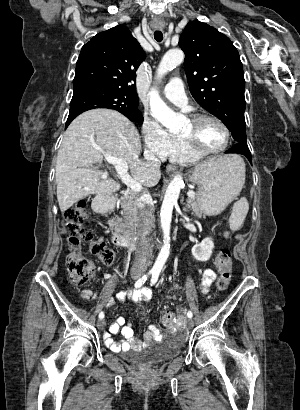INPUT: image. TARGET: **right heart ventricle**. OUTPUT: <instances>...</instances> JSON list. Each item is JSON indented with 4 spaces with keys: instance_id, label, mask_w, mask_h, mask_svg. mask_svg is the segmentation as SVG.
Listing matches in <instances>:
<instances>
[{
    "instance_id": "right-heart-ventricle-1",
    "label": "right heart ventricle",
    "mask_w": 300,
    "mask_h": 410,
    "mask_svg": "<svg viewBox=\"0 0 300 410\" xmlns=\"http://www.w3.org/2000/svg\"><path fill=\"white\" fill-rule=\"evenodd\" d=\"M174 138V145L166 158H168L172 162L180 164H192L200 159V157L196 156L187 149L181 138Z\"/></svg>"
}]
</instances>
